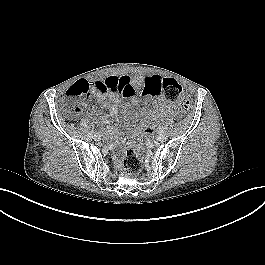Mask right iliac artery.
I'll list each match as a JSON object with an SVG mask.
<instances>
[{
  "mask_svg": "<svg viewBox=\"0 0 265 265\" xmlns=\"http://www.w3.org/2000/svg\"><path fill=\"white\" fill-rule=\"evenodd\" d=\"M88 137H89V138H93V133H92V132H89V133H88Z\"/></svg>",
  "mask_w": 265,
  "mask_h": 265,
  "instance_id": "obj_1",
  "label": "right iliac artery"
}]
</instances>
